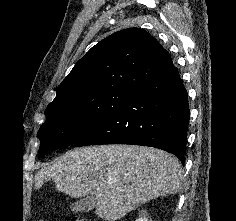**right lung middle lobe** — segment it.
Segmentation results:
<instances>
[{
    "label": "right lung middle lobe",
    "mask_w": 236,
    "mask_h": 221,
    "mask_svg": "<svg viewBox=\"0 0 236 221\" xmlns=\"http://www.w3.org/2000/svg\"><path fill=\"white\" fill-rule=\"evenodd\" d=\"M136 92L115 88L48 106L45 110L46 122L38 132L41 141L39 156L75 144Z\"/></svg>",
    "instance_id": "obj_1"
}]
</instances>
